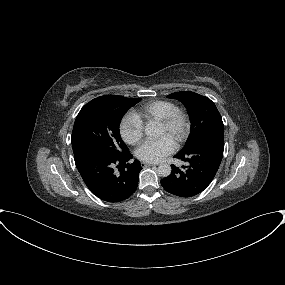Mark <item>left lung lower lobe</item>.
<instances>
[{
    "label": "left lung lower lobe",
    "instance_id": "obj_1",
    "mask_svg": "<svg viewBox=\"0 0 285 285\" xmlns=\"http://www.w3.org/2000/svg\"><path fill=\"white\" fill-rule=\"evenodd\" d=\"M224 151V132H216L202 139L194 147L180 151L175 158L188 162V166L171 165V174L161 180L163 188L179 197H192L201 193L213 180Z\"/></svg>",
    "mask_w": 285,
    "mask_h": 285
}]
</instances>
